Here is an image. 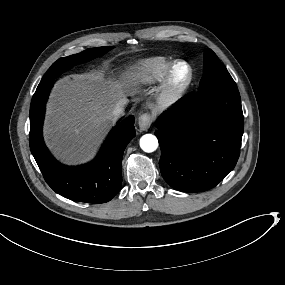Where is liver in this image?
<instances>
[{"mask_svg": "<svg viewBox=\"0 0 285 285\" xmlns=\"http://www.w3.org/2000/svg\"><path fill=\"white\" fill-rule=\"evenodd\" d=\"M125 94L100 73L60 80L48 103L45 126L58 156L70 162L87 158L113 124L111 113Z\"/></svg>", "mask_w": 285, "mask_h": 285, "instance_id": "liver-1", "label": "liver"}]
</instances>
